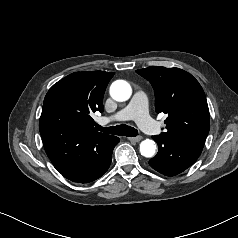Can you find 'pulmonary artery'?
Instances as JSON below:
<instances>
[{
    "instance_id": "e3ab8cb5",
    "label": "pulmonary artery",
    "mask_w": 238,
    "mask_h": 238,
    "mask_svg": "<svg viewBox=\"0 0 238 238\" xmlns=\"http://www.w3.org/2000/svg\"><path fill=\"white\" fill-rule=\"evenodd\" d=\"M135 120L140 128L150 134L156 135L160 132L159 126L151 119L147 108L146 94L139 90L134 93L128 105L112 116L102 117L99 123L105 125L114 121Z\"/></svg>"
}]
</instances>
